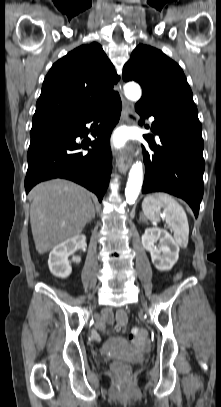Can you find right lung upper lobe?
Returning a JSON list of instances; mask_svg holds the SVG:
<instances>
[{
  "label": "right lung upper lobe",
  "instance_id": "right-lung-upper-lobe-1",
  "mask_svg": "<svg viewBox=\"0 0 221 407\" xmlns=\"http://www.w3.org/2000/svg\"><path fill=\"white\" fill-rule=\"evenodd\" d=\"M119 80L101 45L77 47L58 60L46 75L32 128L85 116L119 98Z\"/></svg>",
  "mask_w": 221,
  "mask_h": 407
}]
</instances>
